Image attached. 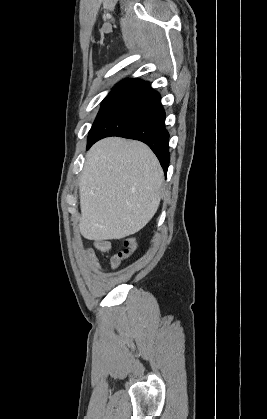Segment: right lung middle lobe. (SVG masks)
Instances as JSON below:
<instances>
[{"label":"right lung middle lobe","mask_w":267,"mask_h":419,"mask_svg":"<svg viewBox=\"0 0 267 419\" xmlns=\"http://www.w3.org/2000/svg\"><path fill=\"white\" fill-rule=\"evenodd\" d=\"M127 93L122 92H111L102 102L100 111L95 119V122L89 132L88 135V143L92 139L94 132L101 122V120L105 117V115L117 104L119 103L124 97H126Z\"/></svg>","instance_id":"1"}]
</instances>
